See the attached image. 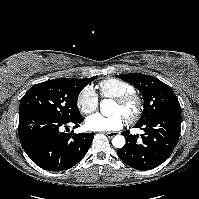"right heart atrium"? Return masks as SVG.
<instances>
[{
	"mask_svg": "<svg viewBox=\"0 0 199 199\" xmlns=\"http://www.w3.org/2000/svg\"><path fill=\"white\" fill-rule=\"evenodd\" d=\"M99 105L98 96L92 86L84 87L78 97L77 106L84 115H89L96 111Z\"/></svg>",
	"mask_w": 199,
	"mask_h": 199,
	"instance_id": "right-heart-atrium-1",
	"label": "right heart atrium"
}]
</instances>
